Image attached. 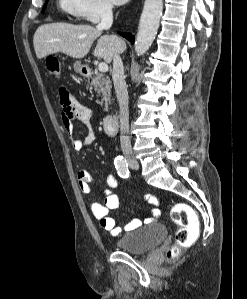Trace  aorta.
Listing matches in <instances>:
<instances>
[{"label":"aorta","mask_w":247,"mask_h":299,"mask_svg":"<svg viewBox=\"0 0 247 299\" xmlns=\"http://www.w3.org/2000/svg\"><path fill=\"white\" fill-rule=\"evenodd\" d=\"M163 0H145L135 41V52L143 55L151 47L162 15Z\"/></svg>","instance_id":"762f6f07"}]
</instances>
